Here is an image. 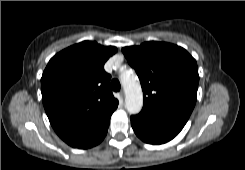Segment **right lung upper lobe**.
<instances>
[{
  "mask_svg": "<svg viewBox=\"0 0 245 170\" xmlns=\"http://www.w3.org/2000/svg\"><path fill=\"white\" fill-rule=\"evenodd\" d=\"M116 52V47L83 41L52 57L43 72L46 114L58 136L72 147H87L109 126L118 100L104 64Z\"/></svg>",
  "mask_w": 245,
  "mask_h": 170,
  "instance_id": "obj_1",
  "label": "right lung upper lobe"
}]
</instances>
